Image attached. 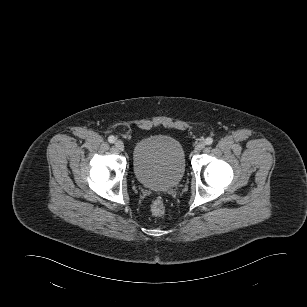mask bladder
I'll use <instances>...</instances> for the list:
<instances>
[{
  "mask_svg": "<svg viewBox=\"0 0 307 307\" xmlns=\"http://www.w3.org/2000/svg\"><path fill=\"white\" fill-rule=\"evenodd\" d=\"M132 167L135 178L143 186L159 191L171 189L185 174L184 148L171 136L145 138L134 147Z\"/></svg>",
  "mask_w": 307,
  "mask_h": 307,
  "instance_id": "bladder-1",
  "label": "bladder"
}]
</instances>
